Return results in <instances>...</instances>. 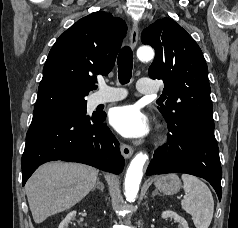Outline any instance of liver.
<instances>
[{
    "mask_svg": "<svg viewBox=\"0 0 238 228\" xmlns=\"http://www.w3.org/2000/svg\"><path fill=\"white\" fill-rule=\"evenodd\" d=\"M98 170L82 164L50 162L40 166L25 191L34 222L70 209L95 186Z\"/></svg>",
    "mask_w": 238,
    "mask_h": 228,
    "instance_id": "obj_1",
    "label": "liver"
}]
</instances>
